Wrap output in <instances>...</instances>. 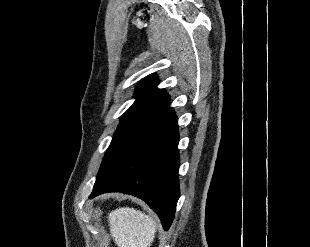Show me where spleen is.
Listing matches in <instances>:
<instances>
[{
  "label": "spleen",
  "mask_w": 310,
  "mask_h": 247,
  "mask_svg": "<svg viewBox=\"0 0 310 247\" xmlns=\"http://www.w3.org/2000/svg\"><path fill=\"white\" fill-rule=\"evenodd\" d=\"M111 236L118 247H150L156 234L154 219L140 210L124 207L108 216Z\"/></svg>",
  "instance_id": "3e777b00"
}]
</instances>
